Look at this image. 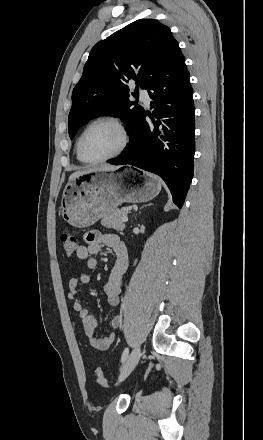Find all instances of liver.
<instances>
[{
	"instance_id": "6515ba94",
	"label": "liver",
	"mask_w": 263,
	"mask_h": 440,
	"mask_svg": "<svg viewBox=\"0 0 263 440\" xmlns=\"http://www.w3.org/2000/svg\"><path fill=\"white\" fill-rule=\"evenodd\" d=\"M117 168L118 167L112 166V165H103V166L91 168L88 170L76 171L70 175L69 179H72L74 177H77V176H80V175H83V174H86V173H89L92 171H99V170H101V171H115Z\"/></svg>"
}]
</instances>
